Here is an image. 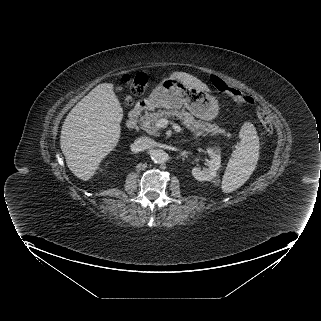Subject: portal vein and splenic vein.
I'll return each instance as SVG.
<instances>
[{
	"label": "portal vein and splenic vein",
	"mask_w": 321,
	"mask_h": 321,
	"mask_svg": "<svg viewBox=\"0 0 321 321\" xmlns=\"http://www.w3.org/2000/svg\"><path fill=\"white\" fill-rule=\"evenodd\" d=\"M170 123L169 120H167L166 118H161L160 120L157 121L156 125L160 128H165L168 126V124ZM174 129L177 131V132H180L181 128L180 126H175L174 125Z\"/></svg>",
	"instance_id": "obj_1"
}]
</instances>
